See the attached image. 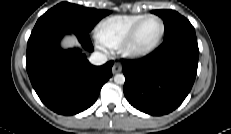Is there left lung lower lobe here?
<instances>
[{
	"instance_id": "obj_1",
	"label": "left lung lower lobe",
	"mask_w": 231,
	"mask_h": 134,
	"mask_svg": "<svg viewBox=\"0 0 231 134\" xmlns=\"http://www.w3.org/2000/svg\"><path fill=\"white\" fill-rule=\"evenodd\" d=\"M198 56L195 32H187L165 39L141 60L124 62V94L128 102L150 115L172 112L193 86Z\"/></svg>"
}]
</instances>
